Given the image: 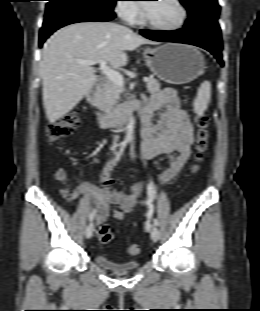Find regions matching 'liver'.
I'll use <instances>...</instances> for the list:
<instances>
[{
    "label": "liver",
    "instance_id": "1",
    "mask_svg": "<svg viewBox=\"0 0 260 311\" xmlns=\"http://www.w3.org/2000/svg\"><path fill=\"white\" fill-rule=\"evenodd\" d=\"M158 44L111 22H78L55 32L43 48L39 73L43 105L50 123L70 112L91 90L96 77L91 65L76 60H104L113 67L128 63L126 51Z\"/></svg>",
    "mask_w": 260,
    "mask_h": 311
}]
</instances>
